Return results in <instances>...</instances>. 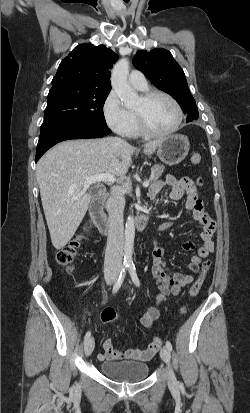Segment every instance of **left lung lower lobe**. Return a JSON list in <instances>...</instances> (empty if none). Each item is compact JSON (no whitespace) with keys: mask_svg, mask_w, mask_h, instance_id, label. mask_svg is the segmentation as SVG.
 I'll return each mask as SVG.
<instances>
[{"mask_svg":"<svg viewBox=\"0 0 250 413\" xmlns=\"http://www.w3.org/2000/svg\"><path fill=\"white\" fill-rule=\"evenodd\" d=\"M196 119H198V118H197V117H188V118L186 119V121H187V122H191V121L196 120Z\"/></svg>","mask_w":250,"mask_h":413,"instance_id":"obj_1","label":"left lung lower lobe"}]
</instances>
